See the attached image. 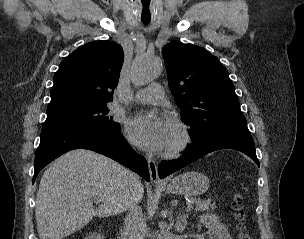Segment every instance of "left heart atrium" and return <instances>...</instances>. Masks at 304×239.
Listing matches in <instances>:
<instances>
[{
    "label": "left heart atrium",
    "instance_id": "obj_1",
    "mask_svg": "<svg viewBox=\"0 0 304 239\" xmlns=\"http://www.w3.org/2000/svg\"><path fill=\"white\" fill-rule=\"evenodd\" d=\"M175 123L167 116L140 113L127 125L129 138L148 151H161L167 147Z\"/></svg>",
    "mask_w": 304,
    "mask_h": 239
}]
</instances>
